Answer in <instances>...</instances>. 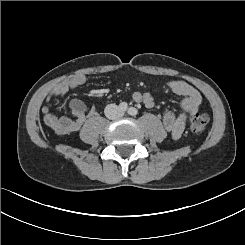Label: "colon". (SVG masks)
I'll return each mask as SVG.
<instances>
[{"label": "colon", "mask_w": 245, "mask_h": 245, "mask_svg": "<svg viewBox=\"0 0 245 245\" xmlns=\"http://www.w3.org/2000/svg\"><path fill=\"white\" fill-rule=\"evenodd\" d=\"M209 120V116L205 113H194L191 117L190 128L196 133L203 132L206 129Z\"/></svg>", "instance_id": "5ec220e1"}]
</instances>
